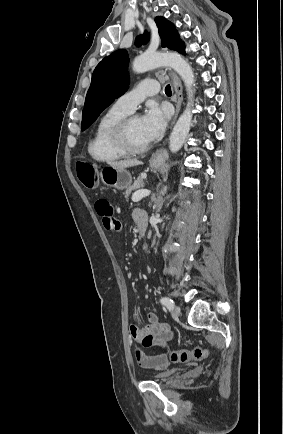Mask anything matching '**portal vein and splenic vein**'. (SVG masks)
I'll list each match as a JSON object with an SVG mask.
<instances>
[{
    "label": "portal vein and splenic vein",
    "instance_id": "18ae733b",
    "mask_svg": "<svg viewBox=\"0 0 283 434\" xmlns=\"http://www.w3.org/2000/svg\"><path fill=\"white\" fill-rule=\"evenodd\" d=\"M149 194H150L149 190H139V191H136L132 195V201L133 202H139L142 198L148 196Z\"/></svg>",
    "mask_w": 283,
    "mask_h": 434
}]
</instances>
